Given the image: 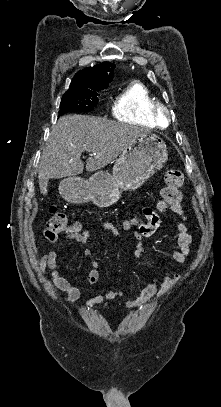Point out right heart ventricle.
Wrapping results in <instances>:
<instances>
[{
  "label": "right heart ventricle",
  "mask_w": 221,
  "mask_h": 407,
  "mask_svg": "<svg viewBox=\"0 0 221 407\" xmlns=\"http://www.w3.org/2000/svg\"><path fill=\"white\" fill-rule=\"evenodd\" d=\"M158 98L141 81H133L118 92L110 106L114 118L128 123L154 126L153 109Z\"/></svg>",
  "instance_id": "obj_1"
}]
</instances>
